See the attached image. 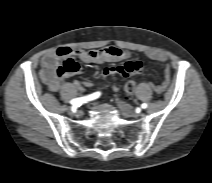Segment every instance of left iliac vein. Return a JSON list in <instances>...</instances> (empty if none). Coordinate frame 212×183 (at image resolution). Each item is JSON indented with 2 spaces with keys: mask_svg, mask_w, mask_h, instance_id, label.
I'll use <instances>...</instances> for the list:
<instances>
[{
  "mask_svg": "<svg viewBox=\"0 0 212 183\" xmlns=\"http://www.w3.org/2000/svg\"><path fill=\"white\" fill-rule=\"evenodd\" d=\"M117 105L120 108V110L123 112L124 115L129 117L136 116V113L132 110V108L123 101H117Z\"/></svg>",
  "mask_w": 212,
  "mask_h": 183,
  "instance_id": "left-iliac-vein-1",
  "label": "left iliac vein"
}]
</instances>
